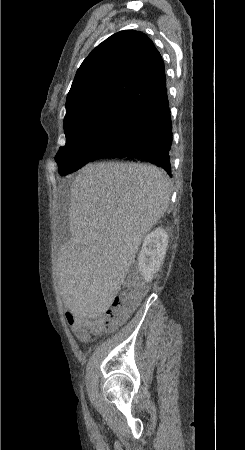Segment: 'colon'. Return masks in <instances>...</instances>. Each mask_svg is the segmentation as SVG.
<instances>
[{"label": "colon", "instance_id": "obj_1", "mask_svg": "<svg viewBox=\"0 0 245 450\" xmlns=\"http://www.w3.org/2000/svg\"><path fill=\"white\" fill-rule=\"evenodd\" d=\"M125 291L113 299L111 305L102 312L82 320L77 330L86 335L88 330H114L122 325L128 316L135 311L146 288L140 285L136 275H129L123 283Z\"/></svg>", "mask_w": 245, "mask_h": 450}]
</instances>
